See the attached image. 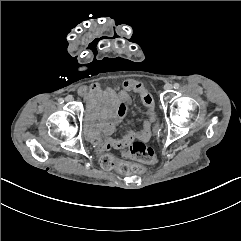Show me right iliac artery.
I'll return each mask as SVG.
<instances>
[{
    "label": "right iliac artery",
    "mask_w": 241,
    "mask_h": 241,
    "mask_svg": "<svg viewBox=\"0 0 241 241\" xmlns=\"http://www.w3.org/2000/svg\"><path fill=\"white\" fill-rule=\"evenodd\" d=\"M58 102H59L60 104H62V103L64 102L63 98H60V99L58 100Z\"/></svg>",
    "instance_id": "obj_1"
}]
</instances>
